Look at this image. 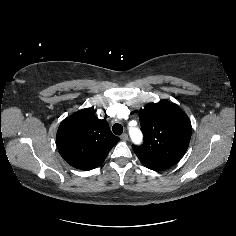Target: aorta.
Wrapping results in <instances>:
<instances>
[{"label":"aorta","instance_id":"obj_1","mask_svg":"<svg viewBox=\"0 0 236 236\" xmlns=\"http://www.w3.org/2000/svg\"><path fill=\"white\" fill-rule=\"evenodd\" d=\"M131 139L134 143H140L142 141L143 135L140 129L134 127L129 129Z\"/></svg>","mask_w":236,"mask_h":236}]
</instances>
